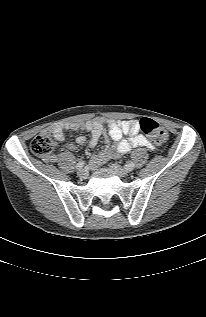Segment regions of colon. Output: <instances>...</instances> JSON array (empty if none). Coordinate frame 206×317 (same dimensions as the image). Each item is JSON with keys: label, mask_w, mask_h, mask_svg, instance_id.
I'll use <instances>...</instances> for the list:
<instances>
[{"label": "colon", "mask_w": 206, "mask_h": 317, "mask_svg": "<svg viewBox=\"0 0 206 317\" xmlns=\"http://www.w3.org/2000/svg\"><path fill=\"white\" fill-rule=\"evenodd\" d=\"M139 125L142 132L157 144H162L166 141L168 137L167 131L155 120L144 117L140 120ZM30 149L37 156L49 157L55 149V143L48 134L42 133L32 140Z\"/></svg>", "instance_id": "5ec220e1"}]
</instances>
